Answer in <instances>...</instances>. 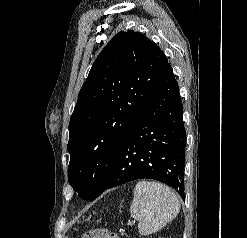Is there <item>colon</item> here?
I'll list each match as a JSON object with an SVG mask.
<instances>
[{
	"label": "colon",
	"mask_w": 247,
	"mask_h": 238,
	"mask_svg": "<svg viewBox=\"0 0 247 238\" xmlns=\"http://www.w3.org/2000/svg\"><path fill=\"white\" fill-rule=\"evenodd\" d=\"M81 238H119L116 233L107 228H93L86 231Z\"/></svg>",
	"instance_id": "colon-1"
}]
</instances>
